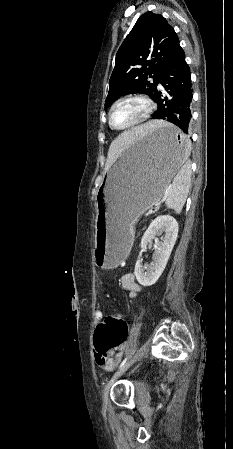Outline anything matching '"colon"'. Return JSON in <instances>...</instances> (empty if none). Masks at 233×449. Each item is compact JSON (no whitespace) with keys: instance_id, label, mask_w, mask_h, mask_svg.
<instances>
[{"instance_id":"1","label":"colon","mask_w":233,"mask_h":449,"mask_svg":"<svg viewBox=\"0 0 233 449\" xmlns=\"http://www.w3.org/2000/svg\"><path fill=\"white\" fill-rule=\"evenodd\" d=\"M127 337V323L119 313H111L97 326L93 336L95 353L103 355L118 349L126 342Z\"/></svg>"}]
</instances>
